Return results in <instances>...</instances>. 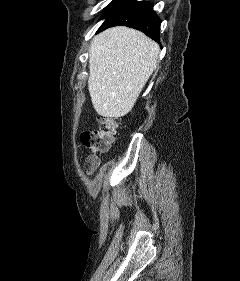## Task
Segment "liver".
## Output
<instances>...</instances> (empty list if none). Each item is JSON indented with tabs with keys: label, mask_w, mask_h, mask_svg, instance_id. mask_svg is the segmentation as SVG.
Here are the masks:
<instances>
[{
	"label": "liver",
	"mask_w": 240,
	"mask_h": 281,
	"mask_svg": "<svg viewBox=\"0 0 240 281\" xmlns=\"http://www.w3.org/2000/svg\"><path fill=\"white\" fill-rule=\"evenodd\" d=\"M160 49L144 33L124 26L96 35L89 48L88 89L103 117L128 114L157 67Z\"/></svg>",
	"instance_id": "1"
}]
</instances>
